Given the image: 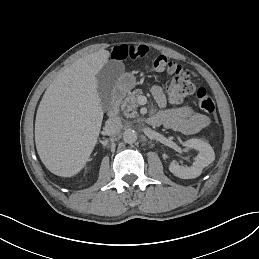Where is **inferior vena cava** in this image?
<instances>
[{
  "instance_id": "1",
  "label": "inferior vena cava",
  "mask_w": 259,
  "mask_h": 259,
  "mask_svg": "<svg viewBox=\"0 0 259 259\" xmlns=\"http://www.w3.org/2000/svg\"><path fill=\"white\" fill-rule=\"evenodd\" d=\"M122 127L123 125L119 117H111L105 123V130L111 135L118 134Z\"/></svg>"
}]
</instances>
